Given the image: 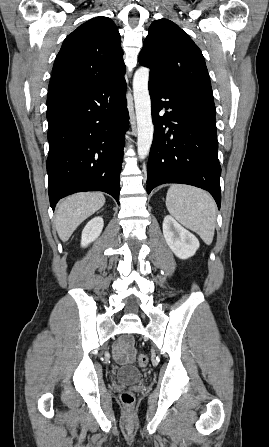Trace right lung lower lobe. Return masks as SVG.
<instances>
[{"mask_svg": "<svg viewBox=\"0 0 269 447\" xmlns=\"http://www.w3.org/2000/svg\"><path fill=\"white\" fill-rule=\"evenodd\" d=\"M49 199L81 191L109 193L119 204L128 129L124 74L99 85L48 92Z\"/></svg>", "mask_w": 269, "mask_h": 447, "instance_id": "1", "label": "right lung lower lobe"}]
</instances>
